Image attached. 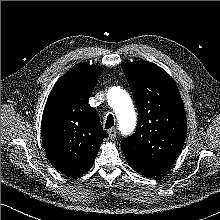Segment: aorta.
Wrapping results in <instances>:
<instances>
[{
  "instance_id": "762f6f07",
  "label": "aorta",
  "mask_w": 220,
  "mask_h": 220,
  "mask_svg": "<svg viewBox=\"0 0 220 220\" xmlns=\"http://www.w3.org/2000/svg\"><path fill=\"white\" fill-rule=\"evenodd\" d=\"M107 99L114 109L121 133L127 135L135 129L136 113L128 93L120 87L108 90Z\"/></svg>"
}]
</instances>
